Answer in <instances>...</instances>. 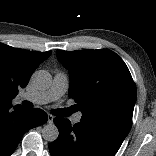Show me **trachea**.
Instances as JSON below:
<instances>
[{
    "label": "trachea",
    "instance_id": "trachea-1",
    "mask_svg": "<svg viewBox=\"0 0 156 156\" xmlns=\"http://www.w3.org/2000/svg\"><path fill=\"white\" fill-rule=\"evenodd\" d=\"M70 113H72V109H57L54 111V114L60 117L68 116Z\"/></svg>",
    "mask_w": 156,
    "mask_h": 156
}]
</instances>
